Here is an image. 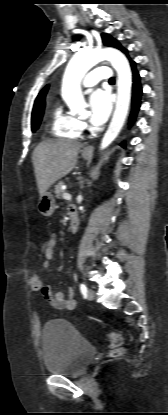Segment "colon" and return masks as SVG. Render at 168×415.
Returning a JSON list of instances; mask_svg holds the SVG:
<instances>
[{"label":"colon","instance_id":"colon-1","mask_svg":"<svg viewBox=\"0 0 168 415\" xmlns=\"http://www.w3.org/2000/svg\"><path fill=\"white\" fill-rule=\"evenodd\" d=\"M41 269L40 263L34 264V272L29 276V287L31 288V292L33 294H38L43 289V275L39 272ZM108 339L110 345L112 347L110 351L111 357H118L123 353V349L121 347L122 338L116 332H110L108 334Z\"/></svg>","mask_w":168,"mask_h":415}]
</instances>
